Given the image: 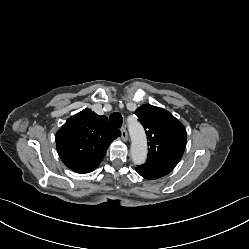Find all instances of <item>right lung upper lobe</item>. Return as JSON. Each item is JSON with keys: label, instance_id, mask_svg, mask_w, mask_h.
Returning a JSON list of instances; mask_svg holds the SVG:
<instances>
[{"label": "right lung upper lobe", "instance_id": "right-lung-upper-lobe-1", "mask_svg": "<svg viewBox=\"0 0 249 249\" xmlns=\"http://www.w3.org/2000/svg\"><path fill=\"white\" fill-rule=\"evenodd\" d=\"M120 135L106 116L86 108L69 118L56 133L58 155L74 172L88 173L97 168L111 142Z\"/></svg>", "mask_w": 249, "mask_h": 249}]
</instances>
